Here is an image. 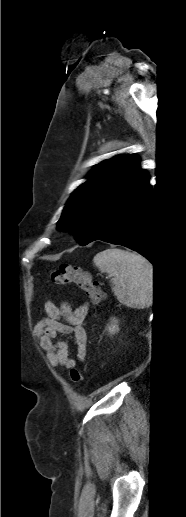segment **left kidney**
I'll return each instance as SVG.
<instances>
[{
	"label": "left kidney",
	"mask_w": 186,
	"mask_h": 517,
	"mask_svg": "<svg viewBox=\"0 0 186 517\" xmlns=\"http://www.w3.org/2000/svg\"><path fill=\"white\" fill-rule=\"evenodd\" d=\"M117 324H118V320L113 319L111 324L108 327V332L110 334H115V333H117L119 331V327H118Z\"/></svg>",
	"instance_id": "obj_1"
}]
</instances>
